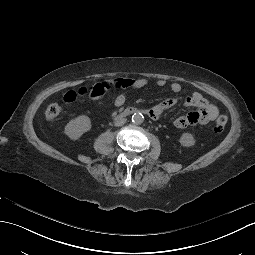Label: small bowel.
<instances>
[{
    "label": "small bowel",
    "mask_w": 255,
    "mask_h": 255,
    "mask_svg": "<svg viewBox=\"0 0 255 255\" xmlns=\"http://www.w3.org/2000/svg\"><path fill=\"white\" fill-rule=\"evenodd\" d=\"M155 84L159 87L167 86L165 79L156 80ZM148 85L146 78H116L110 81H102L93 84L92 86H81L78 88L68 90L63 100L66 103L73 102L76 98L82 96H88L92 100L101 99L109 90L117 89L122 90L120 94L114 99V105L121 107L126 102L127 92L130 90H136L144 88ZM169 87L172 92L179 93L182 86L178 82H171ZM178 102V98L175 96L169 97L158 105L154 106L151 111L153 118L160 117L166 110L172 108ZM184 104L186 106H192L198 108L196 111L189 112L185 115L179 116L175 119L174 125L177 128H185L189 125L201 124L205 125L213 120L219 114V108L209 102L200 92H193L189 97L185 99Z\"/></svg>",
    "instance_id": "obj_1"
}]
</instances>
